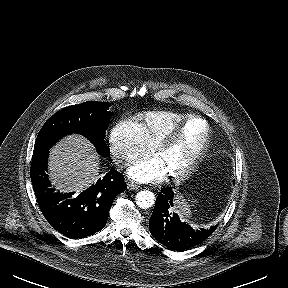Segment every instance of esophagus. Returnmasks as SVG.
<instances>
[{
    "label": "esophagus",
    "mask_w": 288,
    "mask_h": 288,
    "mask_svg": "<svg viewBox=\"0 0 288 288\" xmlns=\"http://www.w3.org/2000/svg\"><path fill=\"white\" fill-rule=\"evenodd\" d=\"M127 188L129 190H137L139 188V186L137 184H135V183L128 182L127 183Z\"/></svg>",
    "instance_id": "1"
}]
</instances>
